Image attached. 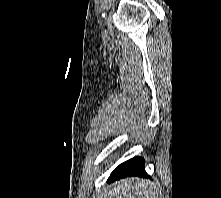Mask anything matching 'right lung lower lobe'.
<instances>
[{"label":"right lung lower lobe","instance_id":"98d812e1","mask_svg":"<svg viewBox=\"0 0 221 198\" xmlns=\"http://www.w3.org/2000/svg\"><path fill=\"white\" fill-rule=\"evenodd\" d=\"M127 176L148 177L144 169V160L141 157L130 159L120 164L110 175L109 181L118 180Z\"/></svg>","mask_w":221,"mask_h":198}]
</instances>
